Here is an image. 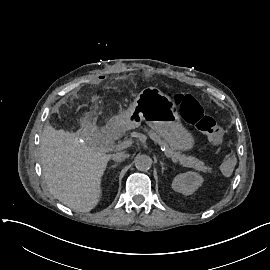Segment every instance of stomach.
<instances>
[{
	"mask_svg": "<svg viewBox=\"0 0 270 270\" xmlns=\"http://www.w3.org/2000/svg\"><path fill=\"white\" fill-rule=\"evenodd\" d=\"M119 119L125 130L139 127L145 121L174 150H189L194 146V138L181 124L175 103L164 98L156 87L144 88Z\"/></svg>",
	"mask_w": 270,
	"mask_h": 270,
	"instance_id": "stomach-1",
	"label": "stomach"
}]
</instances>
